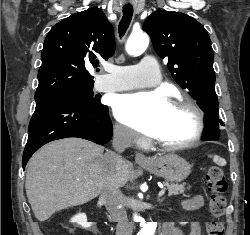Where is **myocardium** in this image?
<instances>
[{
    "label": "myocardium",
    "instance_id": "1",
    "mask_svg": "<svg viewBox=\"0 0 250 235\" xmlns=\"http://www.w3.org/2000/svg\"><path fill=\"white\" fill-rule=\"evenodd\" d=\"M170 106L175 108H186L193 114L195 118L194 132L188 140L183 142L166 143L156 138H153V142L160 148L168 151L186 149L196 145L202 138L205 129V118L202 109L194 100L188 97L176 98L170 103Z\"/></svg>",
    "mask_w": 250,
    "mask_h": 235
}]
</instances>
